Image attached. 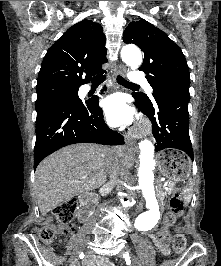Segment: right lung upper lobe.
Instances as JSON below:
<instances>
[{"label":"right lung upper lobe","mask_w":221,"mask_h":266,"mask_svg":"<svg viewBox=\"0 0 221 266\" xmlns=\"http://www.w3.org/2000/svg\"><path fill=\"white\" fill-rule=\"evenodd\" d=\"M105 35L99 23L84 19L70 27L47 51L39 71L37 87H80L92 75L104 73L107 62ZM85 77V78H84Z\"/></svg>","instance_id":"1"}]
</instances>
